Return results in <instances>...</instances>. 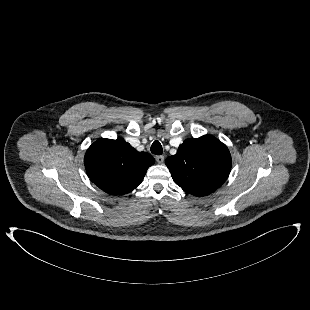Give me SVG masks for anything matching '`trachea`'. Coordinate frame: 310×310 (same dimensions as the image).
I'll return each instance as SVG.
<instances>
[{"label":"trachea","mask_w":310,"mask_h":310,"mask_svg":"<svg viewBox=\"0 0 310 310\" xmlns=\"http://www.w3.org/2000/svg\"><path fill=\"white\" fill-rule=\"evenodd\" d=\"M151 152L155 155H161L163 153V148L159 141L156 140L152 143Z\"/></svg>","instance_id":"1"}]
</instances>
